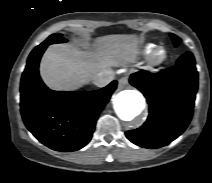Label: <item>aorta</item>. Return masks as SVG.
I'll return each instance as SVG.
<instances>
[{"mask_svg": "<svg viewBox=\"0 0 212 183\" xmlns=\"http://www.w3.org/2000/svg\"><path fill=\"white\" fill-rule=\"evenodd\" d=\"M145 108V99L137 90H124L114 99V109L120 119L131 121Z\"/></svg>", "mask_w": 212, "mask_h": 183, "instance_id": "762f6f07", "label": "aorta"}]
</instances>
